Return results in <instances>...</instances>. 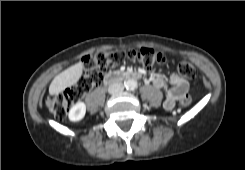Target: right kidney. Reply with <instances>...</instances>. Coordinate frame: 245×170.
<instances>
[{"label":"right kidney","mask_w":245,"mask_h":170,"mask_svg":"<svg viewBox=\"0 0 245 170\" xmlns=\"http://www.w3.org/2000/svg\"><path fill=\"white\" fill-rule=\"evenodd\" d=\"M86 113V105L84 102H77L69 111V120L76 122L84 118Z\"/></svg>","instance_id":"1"}]
</instances>
